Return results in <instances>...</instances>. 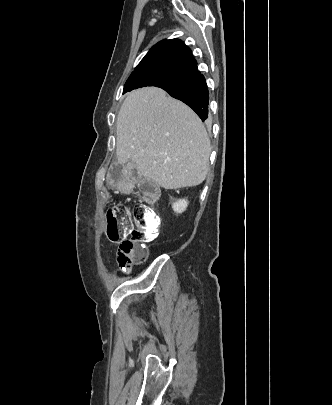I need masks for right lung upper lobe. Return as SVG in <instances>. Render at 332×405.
<instances>
[{"mask_svg": "<svg viewBox=\"0 0 332 405\" xmlns=\"http://www.w3.org/2000/svg\"><path fill=\"white\" fill-rule=\"evenodd\" d=\"M160 71L183 79L199 73L192 51L179 39L162 40L153 46L132 72Z\"/></svg>", "mask_w": 332, "mask_h": 405, "instance_id": "right-lung-upper-lobe-1", "label": "right lung upper lobe"}]
</instances>
